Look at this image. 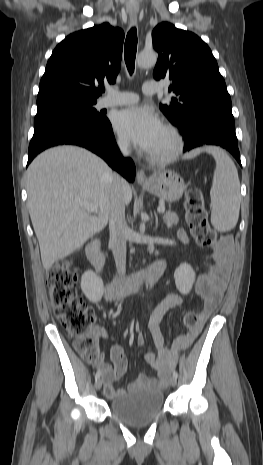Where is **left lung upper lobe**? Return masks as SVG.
Wrapping results in <instances>:
<instances>
[{
  "mask_svg": "<svg viewBox=\"0 0 263 465\" xmlns=\"http://www.w3.org/2000/svg\"><path fill=\"white\" fill-rule=\"evenodd\" d=\"M152 39L159 54L153 76L156 80H172L169 91L177 95L169 104L160 105L173 125L188 128L207 108L232 115L225 81L201 38L163 22L154 28Z\"/></svg>",
  "mask_w": 263,
  "mask_h": 465,
  "instance_id": "obj_1",
  "label": "left lung upper lobe"
}]
</instances>
